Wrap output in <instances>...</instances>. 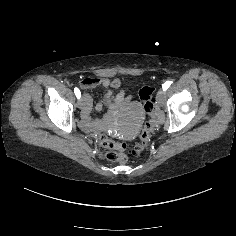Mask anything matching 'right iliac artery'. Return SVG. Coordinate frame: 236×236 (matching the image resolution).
Returning a JSON list of instances; mask_svg holds the SVG:
<instances>
[{
    "label": "right iliac artery",
    "instance_id": "right-iliac-artery-1",
    "mask_svg": "<svg viewBox=\"0 0 236 236\" xmlns=\"http://www.w3.org/2000/svg\"><path fill=\"white\" fill-rule=\"evenodd\" d=\"M74 93H75V95H76V97L79 99L80 97H81V92H80V90L76 87V88H74Z\"/></svg>",
    "mask_w": 236,
    "mask_h": 236
}]
</instances>
